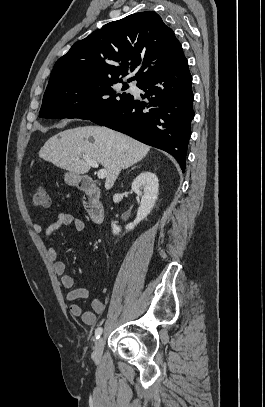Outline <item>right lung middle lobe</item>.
Instances as JSON below:
<instances>
[{
    "instance_id": "1",
    "label": "right lung middle lobe",
    "mask_w": 265,
    "mask_h": 407,
    "mask_svg": "<svg viewBox=\"0 0 265 407\" xmlns=\"http://www.w3.org/2000/svg\"><path fill=\"white\" fill-rule=\"evenodd\" d=\"M122 80H84L49 83L45 91L39 117L81 118L92 120L133 99L119 91L115 84ZM123 83L122 90L128 88Z\"/></svg>"
}]
</instances>
